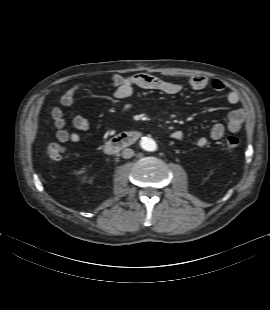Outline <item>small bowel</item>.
Returning a JSON list of instances; mask_svg holds the SVG:
<instances>
[{
    "label": "small bowel",
    "mask_w": 270,
    "mask_h": 310,
    "mask_svg": "<svg viewBox=\"0 0 270 310\" xmlns=\"http://www.w3.org/2000/svg\"><path fill=\"white\" fill-rule=\"evenodd\" d=\"M111 82L114 87V97L119 100L131 96L136 87L146 90H156L169 95L178 94L183 88L181 84L169 82L147 73H136L131 75L113 74L111 76ZM80 86V84H77L68 89L61 98V107L55 106L51 111L55 128V137L61 142L79 143L82 140L79 133L68 131L65 128L66 122L62 109H71L73 107L74 98ZM189 86L194 90H203L210 86L217 92H223L227 89V86L221 80L214 79L210 82L207 77L202 75L193 76L189 80ZM227 101L231 105H238L241 101L240 94L235 90L228 91ZM246 116L247 112L243 108L231 110L228 114L227 125L225 126L222 123L214 124L210 129V137L213 140H219L224 136L226 129L231 133L239 132ZM72 123L74 127L80 131H85L89 127V121L78 114L73 116ZM183 137L184 134L180 130L171 132V138L174 140H182ZM207 142L206 137H200L197 139L196 144L199 147H204Z\"/></svg>",
    "instance_id": "small-bowel-1"
}]
</instances>
